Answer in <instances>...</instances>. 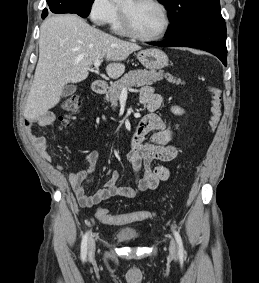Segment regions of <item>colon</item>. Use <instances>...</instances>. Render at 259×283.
Returning a JSON list of instances; mask_svg holds the SVG:
<instances>
[{
  "mask_svg": "<svg viewBox=\"0 0 259 283\" xmlns=\"http://www.w3.org/2000/svg\"><path fill=\"white\" fill-rule=\"evenodd\" d=\"M211 97L210 117L208 121V128L213 131L219 122L221 115V94L220 90L214 86L207 87ZM80 109V102L77 95L67 97L61 105V113L59 120L63 127L70 124L71 118L78 113ZM151 215L145 211H137L127 214H111L106 209H99L96 213L97 219L107 225H123L134 221H140L149 218Z\"/></svg>",
  "mask_w": 259,
  "mask_h": 283,
  "instance_id": "5ec220e1",
  "label": "colon"
}]
</instances>
